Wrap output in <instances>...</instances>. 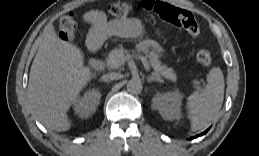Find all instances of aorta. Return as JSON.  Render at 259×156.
Here are the masks:
<instances>
[{
    "instance_id": "aorta-1",
    "label": "aorta",
    "mask_w": 259,
    "mask_h": 156,
    "mask_svg": "<svg viewBox=\"0 0 259 156\" xmlns=\"http://www.w3.org/2000/svg\"><path fill=\"white\" fill-rule=\"evenodd\" d=\"M142 88V82L139 79L133 78L127 83V90L132 94H139Z\"/></svg>"
}]
</instances>
